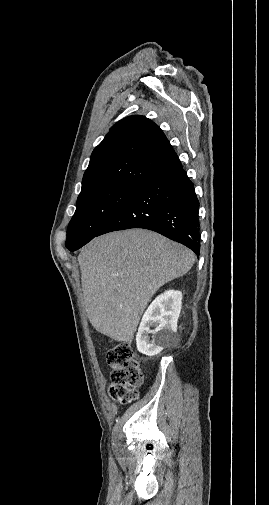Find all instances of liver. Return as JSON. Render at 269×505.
I'll list each match as a JSON object with an SVG mask.
<instances>
[{"label": "liver", "mask_w": 269, "mask_h": 505, "mask_svg": "<svg viewBox=\"0 0 269 505\" xmlns=\"http://www.w3.org/2000/svg\"><path fill=\"white\" fill-rule=\"evenodd\" d=\"M85 311L92 326L130 342L155 292L195 262L187 247L144 229L93 239L78 256Z\"/></svg>", "instance_id": "obj_1"}]
</instances>
